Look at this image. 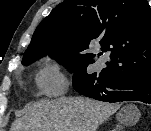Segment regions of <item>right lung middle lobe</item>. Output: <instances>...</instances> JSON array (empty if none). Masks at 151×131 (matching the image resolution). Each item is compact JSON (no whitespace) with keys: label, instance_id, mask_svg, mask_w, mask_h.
Returning a JSON list of instances; mask_svg holds the SVG:
<instances>
[{"label":"right lung middle lobe","instance_id":"1","mask_svg":"<svg viewBox=\"0 0 151 131\" xmlns=\"http://www.w3.org/2000/svg\"><path fill=\"white\" fill-rule=\"evenodd\" d=\"M49 55L64 65L69 72L74 73L73 79L103 76L102 73H87L86 68L93 63V59L68 45H34L28 47L24 53L22 63L28 65L42 56Z\"/></svg>","mask_w":151,"mask_h":131}]
</instances>
